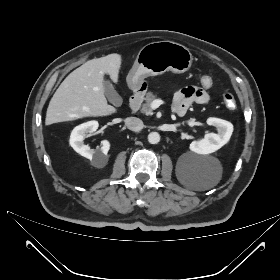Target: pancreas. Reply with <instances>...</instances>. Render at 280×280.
<instances>
[{
	"mask_svg": "<svg viewBox=\"0 0 280 280\" xmlns=\"http://www.w3.org/2000/svg\"><path fill=\"white\" fill-rule=\"evenodd\" d=\"M156 99V95H154L152 92H148L145 97V103L142 105L141 112L146 115H152V108L151 103Z\"/></svg>",
	"mask_w": 280,
	"mask_h": 280,
	"instance_id": "pancreas-1",
	"label": "pancreas"
}]
</instances>
